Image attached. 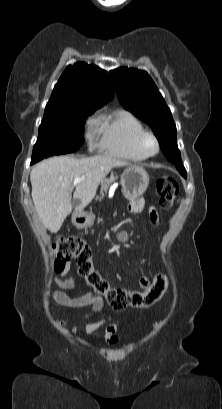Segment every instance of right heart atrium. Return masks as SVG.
Wrapping results in <instances>:
<instances>
[{"mask_svg": "<svg viewBox=\"0 0 222 409\" xmlns=\"http://www.w3.org/2000/svg\"><path fill=\"white\" fill-rule=\"evenodd\" d=\"M86 132V140L88 142V145L90 147L94 146V142L96 139V136L98 134V119L96 116H90L85 124Z\"/></svg>", "mask_w": 222, "mask_h": 409, "instance_id": "d8ad5b80", "label": "right heart atrium"}]
</instances>
